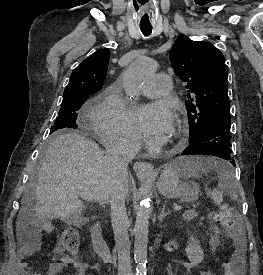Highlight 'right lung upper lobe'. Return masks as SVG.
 Listing matches in <instances>:
<instances>
[{"instance_id":"cb5924a9","label":"right lung upper lobe","mask_w":263,"mask_h":275,"mask_svg":"<svg viewBox=\"0 0 263 275\" xmlns=\"http://www.w3.org/2000/svg\"><path fill=\"white\" fill-rule=\"evenodd\" d=\"M110 57L109 49H100L83 60L72 72L63 97L76 94H92L99 91L105 80Z\"/></svg>"}]
</instances>
